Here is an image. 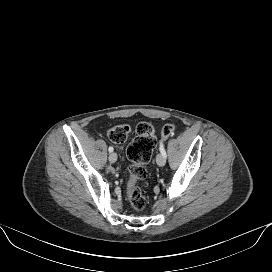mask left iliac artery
Masks as SVG:
<instances>
[{"label": "left iliac artery", "mask_w": 272, "mask_h": 272, "mask_svg": "<svg viewBox=\"0 0 272 272\" xmlns=\"http://www.w3.org/2000/svg\"><path fill=\"white\" fill-rule=\"evenodd\" d=\"M159 150H160L161 154H163L165 157L167 156V155H166V151H165V149H164V144H163V142L160 143Z\"/></svg>", "instance_id": "left-iliac-artery-1"}]
</instances>
